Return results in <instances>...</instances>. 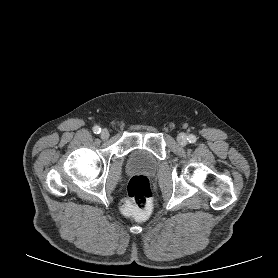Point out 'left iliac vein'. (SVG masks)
Here are the masks:
<instances>
[{"instance_id": "1", "label": "left iliac vein", "mask_w": 278, "mask_h": 278, "mask_svg": "<svg viewBox=\"0 0 278 278\" xmlns=\"http://www.w3.org/2000/svg\"><path fill=\"white\" fill-rule=\"evenodd\" d=\"M177 141L180 145L185 146L187 144V137L185 134L181 133L177 137Z\"/></svg>"}]
</instances>
